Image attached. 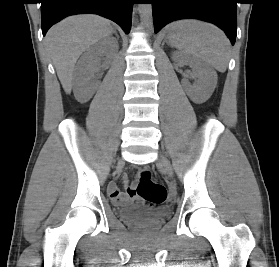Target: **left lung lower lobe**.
I'll use <instances>...</instances> for the list:
<instances>
[{"instance_id": "obj_1", "label": "left lung lower lobe", "mask_w": 279, "mask_h": 267, "mask_svg": "<svg viewBox=\"0 0 279 267\" xmlns=\"http://www.w3.org/2000/svg\"><path fill=\"white\" fill-rule=\"evenodd\" d=\"M150 3L155 33L171 21L198 18L220 27L231 43H235L236 0H150Z\"/></svg>"}]
</instances>
